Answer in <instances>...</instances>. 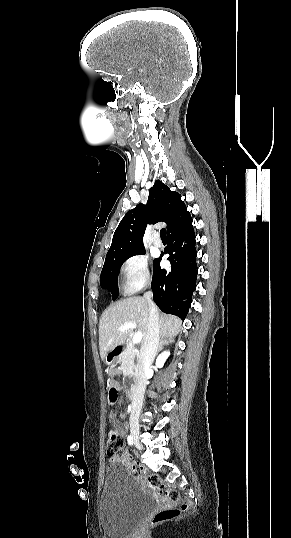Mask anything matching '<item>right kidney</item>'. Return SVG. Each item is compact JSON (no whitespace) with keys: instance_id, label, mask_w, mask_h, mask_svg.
<instances>
[{"instance_id":"right-kidney-1","label":"right kidney","mask_w":291,"mask_h":538,"mask_svg":"<svg viewBox=\"0 0 291 538\" xmlns=\"http://www.w3.org/2000/svg\"><path fill=\"white\" fill-rule=\"evenodd\" d=\"M169 355H170L169 351H164L163 353H161L156 360V367L162 368L166 359L169 357Z\"/></svg>"}]
</instances>
